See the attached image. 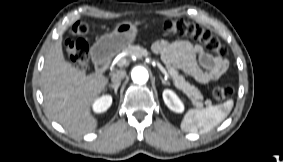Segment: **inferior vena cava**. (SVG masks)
<instances>
[{"label":"inferior vena cava","mask_w":283,"mask_h":162,"mask_svg":"<svg viewBox=\"0 0 283 162\" xmlns=\"http://www.w3.org/2000/svg\"><path fill=\"white\" fill-rule=\"evenodd\" d=\"M125 75H126V72L124 70H119L112 74L111 81L114 84H118L125 77Z\"/></svg>","instance_id":"inferior-vena-cava-1"}]
</instances>
